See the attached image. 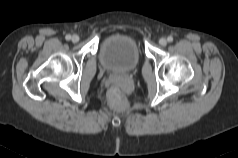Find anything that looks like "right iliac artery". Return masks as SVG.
Returning <instances> with one entry per match:
<instances>
[{"label": "right iliac artery", "mask_w": 238, "mask_h": 158, "mask_svg": "<svg viewBox=\"0 0 238 158\" xmlns=\"http://www.w3.org/2000/svg\"><path fill=\"white\" fill-rule=\"evenodd\" d=\"M65 39H66V40H70V39H71V35H69V34L66 35V36H65Z\"/></svg>", "instance_id": "1"}]
</instances>
